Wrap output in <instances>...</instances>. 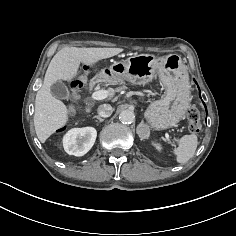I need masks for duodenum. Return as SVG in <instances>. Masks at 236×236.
Instances as JSON below:
<instances>
[{"label": "duodenum", "instance_id": "1", "mask_svg": "<svg viewBox=\"0 0 236 236\" xmlns=\"http://www.w3.org/2000/svg\"><path fill=\"white\" fill-rule=\"evenodd\" d=\"M88 90L91 93L94 92L95 91V83H90L88 86Z\"/></svg>", "mask_w": 236, "mask_h": 236}]
</instances>
